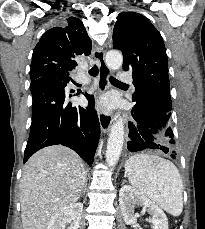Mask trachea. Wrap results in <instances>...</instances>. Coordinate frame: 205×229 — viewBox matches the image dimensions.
Instances as JSON below:
<instances>
[{
	"label": "trachea",
	"mask_w": 205,
	"mask_h": 229,
	"mask_svg": "<svg viewBox=\"0 0 205 229\" xmlns=\"http://www.w3.org/2000/svg\"><path fill=\"white\" fill-rule=\"evenodd\" d=\"M89 74L91 76H97L98 75V67L97 66H94L93 68H91L89 70ZM110 82L111 83H114V84H120V85H124L123 83H121L120 81H118L117 79L113 78V77H110Z\"/></svg>",
	"instance_id": "3493384b"
}]
</instances>
